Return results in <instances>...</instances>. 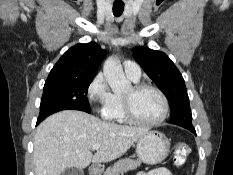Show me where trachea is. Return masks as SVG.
<instances>
[{
	"instance_id": "3493384b",
	"label": "trachea",
	"mask_w": 233,
	"mask_h": 175,
	"mask_svg": "<svg viewBox=\"0 0 233 175\" xmlns=\"http://www.w3.org/2000/svg\"><path fill=\"white\" fill-rule=\"evenodd\" d=\"M124 11V4H113V14L116 17H119Z\"/></svg>"
}]
</instances>
